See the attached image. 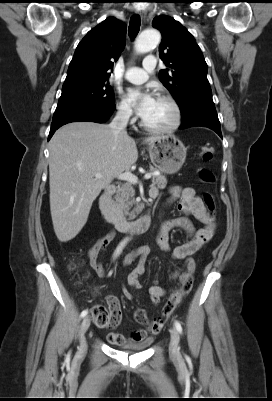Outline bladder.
I'll return each instance as SVG.
<instances>
[{"label":"bladder","mask_w":272,"mask_h":401,"mask_svg":"<svg viewBox=\"0 0 272 401\" xmlns=\"http://www.w3.org/2000/svg\"><path fill=\"white\" fill-rule=\"evenodd\" d=\"M150 344H151V340H147L143 343H138V344H126V345H123L122 348L127 351L135 352V351H140V350L147 348Z\"/></svg>","instance_id":"bladder-1"}]
</instances>
